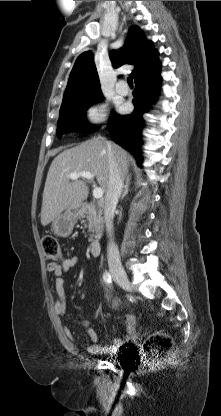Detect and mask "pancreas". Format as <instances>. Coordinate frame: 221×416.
<instances>
[{"label": "pancreas", "instance_id": "pancreas-1", "mask_svg": "<svg viewBox=\"0 0 221 416\" xmlns=\"http://www.w3.org/2000/svg\"><path fill=\"white\" fill-rule=\"evenodd\" d=\"M84 218H86V221L88 222V225L84 224L85 227H88V231L96 233V237H100L104 224L102 209L94 204L86 205L80 212V219L83 220ZM86 221L83 220V222ZM93 236L94 235L92 234L90 239H92Z\"/></svg>", "mask_w": 221, "mask_h": 416}]
</instances>
